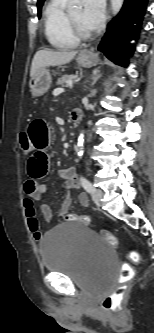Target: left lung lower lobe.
Returning <instances> with one entry per match:
<instances>
[{
  "label": "left lung lower lobe",
  "mask_w": 154,
  "mask_h": 333,
  "mask_svg": "<svg viewBox=\"0 0 154 333\" xmlns=\"http://www.w3.org/2000/svg\"><path fill=\"white\" fill-rule=\"evenodd\" d=\"M146 4L147 0H125L120 13L109 23L98 50L113 62L127 65V57L133 53L129 40L138 34Z\"/></svg>",
  "instance_id": "1"
}]
</instances>
